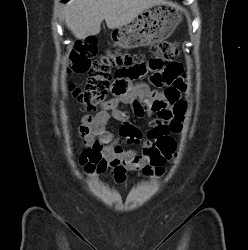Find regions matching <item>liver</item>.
I'll return each mask as SVG.
<instances>
[{
  "instance_id": "liver-1",
  "label": "liver",
  "mask_w": 248,
  "mask_h": 250,
  "mask_svg": "<svg viewBox=\"0 0 248 250\" xmlns=\"http://www.w3.org/2000/svg\"><path fill=\"white\" fill-rule=\"evenodd\" d=\"M164 0H70L63 8L65 25L78 39L97 35L101 22L109 29L132 22L143 10Z\"/></svg>"
}]
</instances>
